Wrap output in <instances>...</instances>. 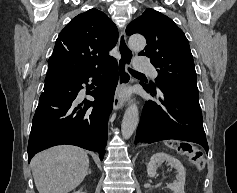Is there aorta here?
Returning a JSON list of instances; mask_svg holds the SVG:
<instances>
[{"instance_id":"obj_1","label":"aorta","mask_w":237,"mask_h":193,"mask_svg":"<svg viewBox=\"0 0 237 193\" xmlns=\"http://www.w3.org/2000/svg\"><path fill=\"white\" fill-rule=\"evenodd\" d=\"M129 48L134 51H141L146 46V39L140 34H133L128 41ZM139 123V112L136 103H131L126 109L122 124L121 132L125 139L130 138L134 133Z\"/></svg>"}]
</instances>
